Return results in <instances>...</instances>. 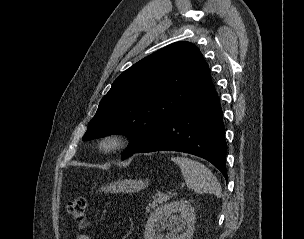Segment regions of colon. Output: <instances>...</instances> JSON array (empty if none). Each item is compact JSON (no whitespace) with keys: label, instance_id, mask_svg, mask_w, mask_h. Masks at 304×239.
<instances>
[{"label":"colon","instance_id":"obj_1","mask_svg":"<svg viewBox=\"0 0 304 239\" xmlns=\"http://www.w3.org/2000/svg\"><path fill=\"white\" fill-rule=\"evenodd\" d=\"M87 202L84 197H77L67 204L68 214L83 228L86 221Z\"/></svg>","mask_w":304,"mask_h":239}]
</instances>
